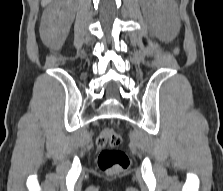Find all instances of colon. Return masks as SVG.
Listing matches in <instances>:
<instances>
[{
    "label": "colon",
    "instance_id": "colon-1",
    "mask_svg": "<svg viewBox=\"0 0 223 191\" xmlns=\"http://www.w3.org/2000/svg\"><path fill=\"white\" fill-rule=\"evenodd\" d=\"M122 134L113 130L103 131L97 138L101 148L98 155V167L103 172H123L129 168L130 160L125 151L119 149Z\"/></svg>",
    "mask_w": 223,
    "mask_h": 191
}]
</instances>
